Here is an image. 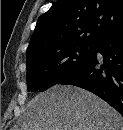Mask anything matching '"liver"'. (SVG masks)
Instances as JSON below:
<instances>
[{"label": "liver", "instance_id": "1", "mask_svg": "<svg viewBox=\"0 0 123 130\" xmlns=\"http://www.w3.org/2000/svg\"><path fill=\"white\" fill-rule=\"evenodd\" d=\"M17 130H123V117L96 95L55 85L31 99Z\"/></svg>", "mask_w": 123, "mask_h": 130}]
</instances>
